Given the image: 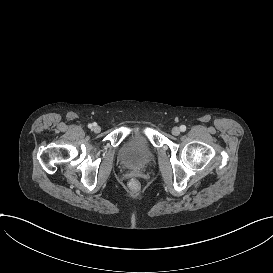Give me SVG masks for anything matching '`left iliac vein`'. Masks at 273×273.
Here are the masks:
<instances>
[{
	"mask_svg": "<svg viewBox=\"0 0 273 273\" xmlns=\"http://www.w3.org/2000/svg\"><path fill=\"white\" fill-rule=\"evenodd\" d=\"M180 129L179 127H173L172 128V134L175 135V136H178L180 134Z\"/></svg>",
	"mask_w": 273,
	"mask_h": 273,
	"instance_id": "4c4485c4",
	"label": "left iliac vein"
}]
</instances>
